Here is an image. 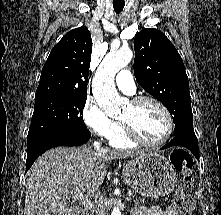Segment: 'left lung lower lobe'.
Instances as JSON below:
<instances>
[{
	"mask_svg": "<svg viewBox=\"0 0 221 215\" xmlns=\"http://www.w3.org/2000/svg\"><path fill=\"white\" fill-rule=\"evenodd\" d=\"M172 146H183L189 149L194 156L199 158L198 140L195 133L192 134H180L173 138L169 143L162 147V149Z\"/></svg>",
	"mask_w": 221,
	"mask_h": 215,
	"instance_id": "1",
	"label": "left lung lower lobe"
}]
</instances>
